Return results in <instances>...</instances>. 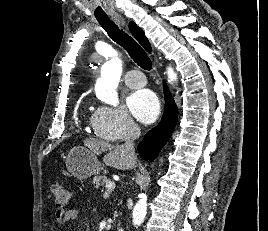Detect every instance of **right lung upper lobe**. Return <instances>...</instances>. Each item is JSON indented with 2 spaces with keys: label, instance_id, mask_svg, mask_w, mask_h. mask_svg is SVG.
I'll return each instance as SVG.
<instances>
[{
  "label": "right lung upper lobe",
  "instance_id": "right-lung-upper-lobe-1",
  "mask_svg": "<svg viewBox=\"0 0 268 231\" xmlns=\"http://www.w3.org/2000/svg\"><path fill=\"white\" fill-rule=\"evenodd\" d=\"M129 30L132 35L137 39V41L144 47V49L148 52H151V45L146 38L143 30L138 27L134 22L129 23Z\"/></svg>",
  "mask_w": 268,
  "mask_h": 231
}]
</instances>
